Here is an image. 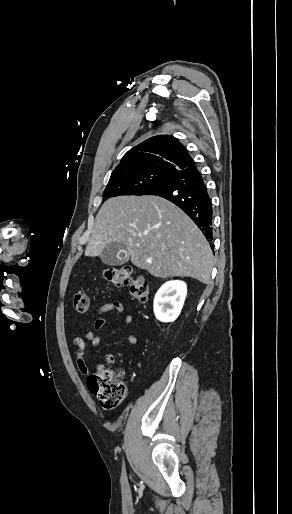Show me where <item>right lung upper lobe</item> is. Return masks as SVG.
<instances>
[{"instance_id":"1","label":"right lung upper lobe","mask_w":292,"mask_h":514,"mask_svg":"<svg viewBox=\"0 0 292 514\" xmlns=\"http://www.w3.org/2000/svg\"><path fill=\"white\" fill-rule=\"evenodd\" d=\"M195 165L185 147L171 135H158L125 153L111 176L142 172L173 174Z\"/></svg>"}]
</instances>
